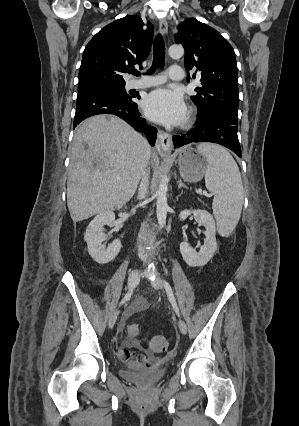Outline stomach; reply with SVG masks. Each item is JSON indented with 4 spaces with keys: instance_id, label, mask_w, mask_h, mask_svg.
Wrapping results in <instances>:
<instances>
[{
    "instance_id": "stomach-1",
    "label": "stomach",
    "mask_w": 299,
    "mask_h": 426,
    "mask_svg": "<svg viewBox=\"0 0 299 426\" xmlns=\"http://www.w3.org/2000/svg\"><path fill=\"white\" fill-rule=\"evenodd\" d=\"M177 163L181 177L187 182L200 181L208 170L207 158L192 147L181 151Z\"/></svg>"
}]
</instances>
